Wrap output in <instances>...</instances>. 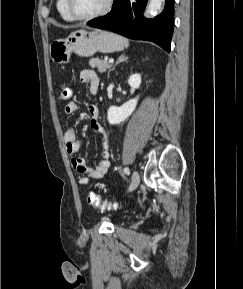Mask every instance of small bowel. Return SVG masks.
I'll return each instance as SVG.
<instances>
[{
	"mask_svg": "<svg viewBox=\"0 0 243 289\" xmlns=\"http://www.w3.org/2000/svg\"><path fill=\"white\" fill-rule=\"evenodd\" d=\"M80 82L81 84L88 86L92 94L97 92L99 79L93 70H83L80 74ZM78 108V102L72 101L65 106L64 112L67 115H73L78 110ZM88 113L91 118V129L101 136L103 151L101 160H99L95 165H88L85 159L81 156L73 157L71 159V166L79 174L78 183L80 185H87L90 179L98 180L103 178L110 166L109 144L106 132L99 122V109L94 104L89 105ZM64 142L66 152L69 155H74L78 152L79 143L77 141L76 131L73 128H69L65 131Z\"/></svg>",
	"mask_w": 243,
	"mask_h": 289,
	"instance_id": "small-bowel-1",
	"label": "small bowel"
}]
</instances>
